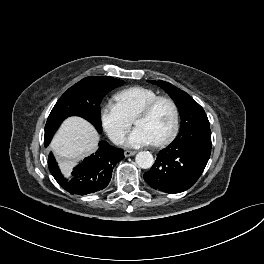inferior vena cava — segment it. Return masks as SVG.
Returning a JSON list of instances; mask_svg holds the SVG:
<instances>
[{
	"label": "inferior vena cava",
	"instance_id": "1",
	"mask_svg": "<svg viewBox=\"0 0 264 264\" xmlns=\"http://www.w3.org/2000/svg\"><path fill=\"white\" fill-rule=\"evenodd\" d=\"M112 141H113V143L120 145V144L124 143L125 137H124V135L116 134L113 136Z\"/></svg>",
	"mask_w": 264,
	"mask_h": 264
}]
</instances>
